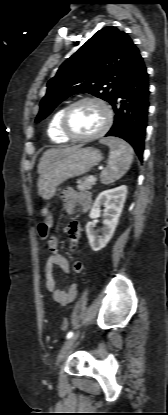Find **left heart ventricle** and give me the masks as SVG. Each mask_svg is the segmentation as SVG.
<instances>
[{
    "instance_id": "1",
    "label": "left heart ventricle",
    "mask_w": 168,
    "mask_h": 415,
    "mask_svg": "<svg viewBox=\"0 0 168 415\" xmlns=\"http://www.w3.org/2000/svg\"><path fill=\"white\" fill-rule=\"evenodd\" d=\"M105 122L103 108L94 102L76 106L69 116L70 130L79 136H87L99 131Z\"/></svg>"
}]
</instances>
